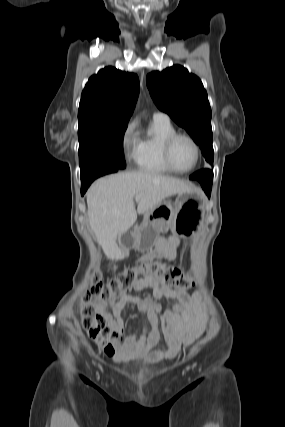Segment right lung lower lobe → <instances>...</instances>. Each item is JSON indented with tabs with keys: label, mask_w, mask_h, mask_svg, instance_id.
I'll list each match as a JSON object with an SVG mask.
<instances>
[{
	"label": "right lung lower lobe",
	"mask_w": 285,
	"mask_h": 427,
	"mask_svg": "<svg viewBox=\"0 0 285 427\" xmlns=\"http://www.w3.org/2000/svg\"><path fill=\"white\" fill-rule=\"evenodd\" d=\"M118 169H120V168L111 167V168L99 169L96 172L92 173L91 175H88V176H85V177H81V183H82L81 194L84 195V193L86 192V190L88 189V187L90 186V184L96 178H98L100 176H103V175H106V174L117 172Z\"/></svg>",
	"instance_id": "right-lung-lower-lobe-1"
}]
</instances>
